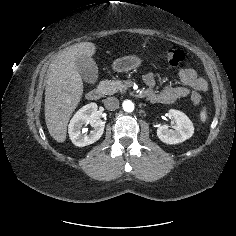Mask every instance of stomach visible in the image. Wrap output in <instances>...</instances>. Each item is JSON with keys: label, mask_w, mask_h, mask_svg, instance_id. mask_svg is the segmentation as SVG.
I'll return each mask as SVG.
<instances>
[{"label": "stomach", "mask_w": 236, "mask_h": 236, "mask_svg": "<svg viewBox=\"0 0 236 236\" xmlns=\"http://www.w3.org/2000/svg\"><path fill=\"white\" fill-rule=\"evenodd\" d=\"M142 60L135 55L124 56L113 62L112 68L116 72H127L141 65Z\"/></svg>", "instance_id": "stomach-1"}]
</instances>
